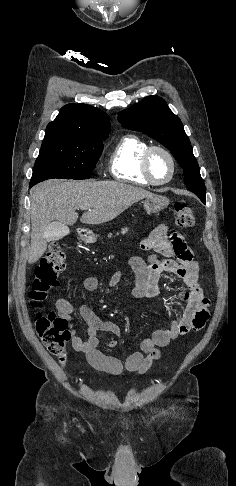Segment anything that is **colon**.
<instances>
[{
    "label": "colon",
    "instance_id": "colon-1",
    "mask_svg": "<svg viewBox=\"0 0 236 486\" xmlns=\"http://www.w3.org/2000/svg\"><path fill=\"white\" fill-rule=\"evenodd\" d=\"M174 213L178 227L187 229L194 225V213L187 202L177 201L174 205ZM64 269V252L58 244H52L35 270V277L29 292V299L33 306L38 307L46 299L48 293L58 286V276ZM35 328L46 348L53 355L63 358L66 344L70 338L67 321L53 312L38 313Z\"/></svg>",
    "mask_w": 236,
    "mask_h": 486
}]
</instances>
